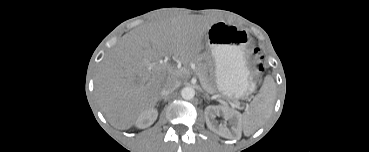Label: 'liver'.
I'll list each match as a JSON object with an SVG mask.
<instances>
[{
  "label": "liver",
  "mask_w": 369,
  "mask_h": 152,
  "mask_svg": "<svg viewBox=\"0 0 369 152\" xmlns=\"http://www.w3.org/2000/svg\"><path fill=\"white\" fill-rule=\"evenodd\" d=\"M209 23L172 17L142 25L125 34L100 65L95 91L109 123L131 128L139 115L153 108L167 80L185 71L159 61L173 56L183 64L195 59Z\"/></svg>",
  "instance_id": "liver-1"
}]
</instances>
